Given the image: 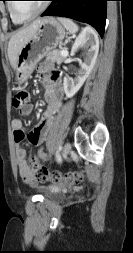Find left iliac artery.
Returning a JSON list of instances; mask_svg holds the SVG:
<instances>
[{
  "label": "left iliac artery",
  "instance_id": "44dca946",
  "mask_svg": "<svg viewBox=\"0 0 133 253\" xmlns=\"http://www.w3.org/2000/svg\"><path fill=\"white\" fill-rule=\"evenodd\" d=\"M62 147H59L57 152H56V158L60 159V151H61Z\"/></svg>",
  "mask_w": 133,
  "mask_h": 253
}]
</instances>
